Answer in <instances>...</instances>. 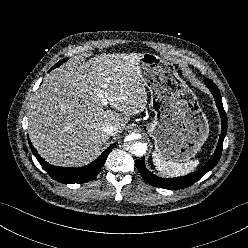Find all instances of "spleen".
<instances>
[{"mask_svg":"<svg viewBox=\"0 0 248 248\" xmlns=\"http://www.w3.org/2000/svg\"><path fill=\"white\" fill-rule=\"evenodd\" d=\"M156 169L169 177L181 176L193 172L199 165V160H190L184 163L170 162L161 159L156 153L152 154Z\"/></svg>","mask_w":248,"mask_h":248,"instance_id":"3e777b00","label":"spleen"}]
</instances>
